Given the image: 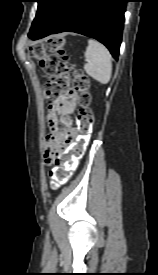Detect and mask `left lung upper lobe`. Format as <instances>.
<instances>
[{
	"label": "left lung upper lobe",
	"mask_w": 158,
	"mask_h": 275,
	"mask_svg": "<svg viewBox=\"0 0 158 275\" xmlns=\"http://www.w3.org/2000/svg\"><path fill=\"white\" fill-rule=\"evenodd\" d=\"M58 1L59 0H37L38 10L29 34L35 33L46 22L49 13Z\"/></svg>",
	"instance_id": "obj_1"
}]
</instances>
